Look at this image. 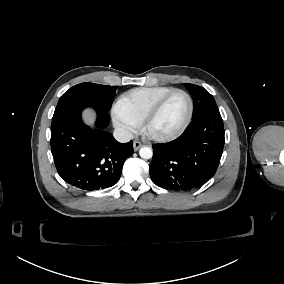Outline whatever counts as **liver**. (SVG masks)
I'll list each match as a JSON object with an SVG mask.
<instances>
[{"instance_id":"liver-1","label":"liver","mask_w":284,"mask_h":284,"mask_svg":"<svg viewBox=\"0 0 284 284\" xmlns=\"http://www.w3.org/2000/svg\"><path fill=\"white\" fill-rule=\"evenodd\" d=\"M83 118L87 124L92 125L95 120V113L92 110L87 109L83 113Z\"/></svg>"}]
</instances>
